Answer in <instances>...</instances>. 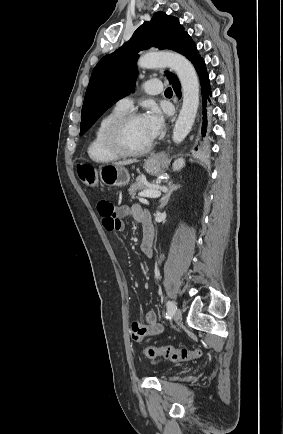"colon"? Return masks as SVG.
Here are the masks:
<instances>
[{
	"label": "colon",
	"instance_id": "5ec220e1",
	"mask_svg": "<svg viewBox=\"0 0 283 434\" xmlns=\"http://www.w3.org/2000/svg\"><path fill=\"white\" fill-rule=\"evenodd\" d=\"M78 175L87 188L93 189L97 186V175L93 167L88 165L79 166ZM144 354L149 358L163 356L173 362H186L199 358L202 352L199 349L189 350L168 345L163 347L148 346L144 349Z\"/></svg>",
	"mask_w": 283,
	"mask_h": 434
}]
</instances>
